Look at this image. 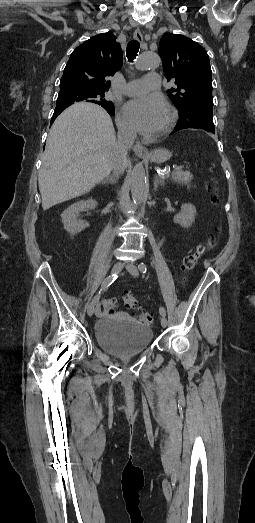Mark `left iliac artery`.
<instances>
[{
	"label": "left iliac artery",
	"mask_w": 255,
	"mask_h": 523,
	"mask_svg": "<svg viewBox=\"0 0 255 523\" xmlns=\"http://www.w3.org/2000/svg\"><path fill=\"white\" fill-rule=\"evenodd\" d=\"M138 268H139V270H140L141 272H143V273H146V271H147L146 264L143 263V262L140 263V264L138 265ZM159 312H160V314H161L162 316H166V310H165L164 307H160V308H159Z\"/></svg>",
	"instance_id": "left-iliac-artery-1"
}]
</instances>
